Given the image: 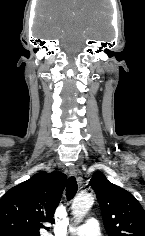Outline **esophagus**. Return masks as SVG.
I'll return each mask as SVG.
<instances>
[{
    "label": "esophagus",
    "instance_id": "obj_1",
    "mask_svg": "<svg viewBox=\"0 0 145 236\" xmlns=\"http://www.w3.org/2000/svg\"><path fill=\"white\" fill-rule=\"evenodd\" d=\"M70 174L74 176L79 183L82 181V173L81 171L76 167V166H71L70 169Z\"/></svg>",
    "mask_w": 145,
    "mask_h": 236
}]
</instances>
